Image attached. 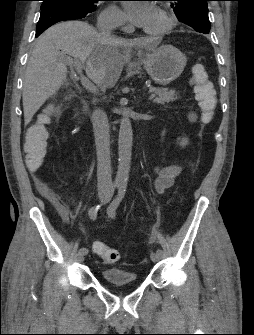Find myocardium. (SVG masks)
Segmentation results:
<instances>
[{
  "instance_id": "1",
  "label": "myocardium",
  "mask_w": 254,
  "mask_h": 335,
  "mask_svg": "<svg viewBox=\"0 0 254 335\" xmlns=\"http://www.w3.org/2000/svg\"><path fill=\"white\" fill-rule=\"evenodd\" d=\"M157 13L160 15V17L163 19L164 21V25L158 29V30H154V31H148L150 34L153 35H164L166 33H168L174 26V19L173 17L164 9H157Z\"/></svg>"
}]
</instances>
